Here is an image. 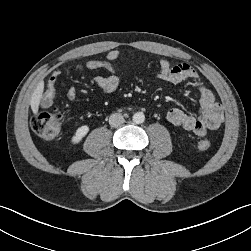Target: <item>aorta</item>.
<instances>
[{
  "mask_svg": "<svg viewBox=\"0 0 251 251\" xmlns=\"http://www.w3.org/2000/svg\"><path fill=\"white\" fill-rule=\"evenodd\" d=\"M145 120V116L142 112H137L133 115V122L136 124H141Z\"/></svg>",
  "mask_w": 251,
  "mask_h": 251,
  "instance_id": "762f6f07",
  "label": "aorta"
}]
</instances>
